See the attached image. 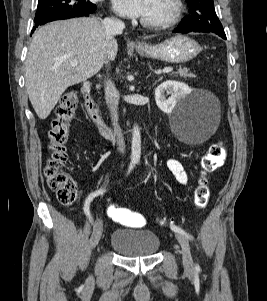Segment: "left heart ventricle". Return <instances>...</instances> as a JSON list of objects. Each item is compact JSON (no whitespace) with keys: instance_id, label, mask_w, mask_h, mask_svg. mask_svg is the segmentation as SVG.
<instances>
[{"instance_id":"left-heart-ventricle-1","label":"left heart ventricle","mask_w":267,"mask_h":301,"mask_svg":"<svg viewBox=\"0 0 267 301\" xmlns=\"http://www.w3.org/2000/svg\"><path fill=\"white\" fill-rule=\"evenodd\" d=\"M172 11L171 0H150L149 6L143 19L156 21L167 17Z\"/></svg>"}]
</instances>
